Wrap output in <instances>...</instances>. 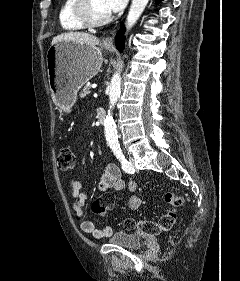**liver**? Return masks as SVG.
I'll return each mask as SVG.
<instances>
[{
  "instance_id": "6515ba94",
  "label": "liver",
  "mask_w": 240,
  "mask_h": 281,
  "mask_svg": "<svg viewBox=\"0 0 240 281\" xmlns=\"http://www.w3.org/2000/svg\"><path fill=\"white\" fill-rule=\"evenodd\" d=\"M59 41H74L91 46H95L100 43V40L96 36L84 32L62 33L54 37L51 44L54 45Z\"/></svg>"
}]
</instances>
